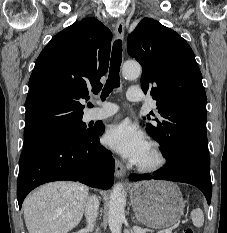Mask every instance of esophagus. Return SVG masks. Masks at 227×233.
I'll list each match as a JSON object with an SVG mask.
<instances>
[{
	"mask_svg": "<svg viewBox=\"0 0 227 233\" xmlns=\"http://www.w3.org/2000/svg\"><path fill=\"white\" fill-rule=\"evenodd\" d=\"M125 21L123 17H119L116 21L115 35L118 39H122L124 36ZM126 174V169L123 164L119 161H115V175L117 178H123Z\"/></svg>",
	"mask_w": 227,
	"mask_h": 233,
	"instance_id": "34e87169",
	"label": "esophagus"
}]
</instances>
